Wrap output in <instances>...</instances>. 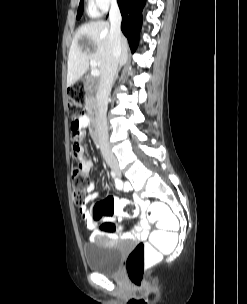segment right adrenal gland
<instances>
[{
  "label": "right adrenal gland",
  "mask_w": 247,
  "mask_h": 304,
  "mask_svg": "<svg viewBox=\"0 0 247 304\" xmlns=\"http://www.w3.org/2000/svg\"><path fill=\"white\" fill-rule=\"evenodd\" d=\"M120 68H121V67H119V69L117 70V73H116V76H115V78H114L113 83H115V81L118 79V74H119Z\"/></svg>",
  "instance_id": "right-adrenal-gland-1"
}]
</instances>
